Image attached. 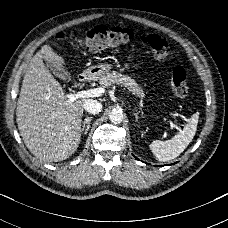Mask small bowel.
Wrapping results in <instances>:
<instances>
[{
	"mask_svg": "<svg viewBox=\"0 0 228 228\" xmlns=\"http://www.w3.org/2000/svg\"><path fill=\"white\" fill-rule=\"evenodd\" d=\"M139 42L143 49L149 48V43L147 42V38L145 36H140ZM133 56H134V47H131L130 54L127 59L128 63L126 64L127 68L129 67V62L132 60Z\"/></svg>",
	"mask_w": 228,
	"mask_h": 228,
	"instance_id": "obj_1",
	"label": "small bowel"
}]
</instances>
